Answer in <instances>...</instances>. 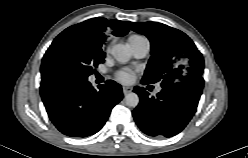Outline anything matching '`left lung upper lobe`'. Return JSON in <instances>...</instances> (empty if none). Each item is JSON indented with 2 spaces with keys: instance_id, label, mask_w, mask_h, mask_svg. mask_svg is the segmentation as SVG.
<instances>
[{
  "instance_id": "obj_1",
  "label": "left lung upper lobe",
  "mask_w": 248,
  "mask_h": 158,
  "mask_svg": "<svg viewBox=\"0 0 248 158\" xmlns=\"http://www.w3.org/2000/svg\"><path fill=\"white\" fill-rule=\"evenodd\" d=\"M126 23L151 42L143 83L161 81L162 88L179 84L203 87L204 58L185 33L156 22Z\"/></svg>"
}]
</instances>
